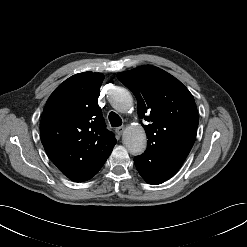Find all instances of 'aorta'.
<instances>
[{
	"label": "aorta",
	"mask_w": 247,
	"mask_h": 247,
	"mask_svg": "<svg viewBox=\"0 0 247 247\" xmlns=\"http://www.w3.org/2000/svg\"><path fill=\"white\" fill-rule=\"evenodd\" d=\"M112 107L120 113H126L133 105L130 92L122 87L116 88L110 98ZM128 152L132 155L142 154L147 146L145 130L141 126H129L122 137Z\"/></svg>",
	"instance_id": "762f6f07"
}]
</instances>
